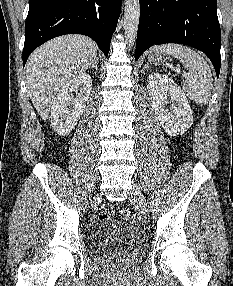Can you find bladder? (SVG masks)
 <instances>
[{
	"mask_svg": "<svg viewBox=\"0 0 233 286\" xmlns=\"http://www.w3.org/2000/svg\"><path fill=\"white\" fill-rule=\"evenodd\" d=\"M112 250H122L131 256L143 254L145 250L143 233L137 227L115 218L100 220L93 229L91 253L102 255Z\"/></svg>",
	"mask_w": 233,
	"mask_h": 286,
	"instance_id": "obj_1",
	"label": "bladder"
}]
</instances>
